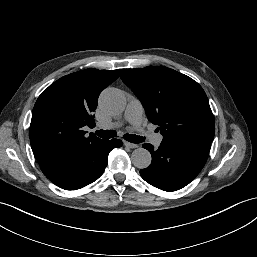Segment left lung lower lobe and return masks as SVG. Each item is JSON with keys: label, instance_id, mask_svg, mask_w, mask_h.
Returning <instances> with one entry per match:
<instances>
[{"label": "left lung lower lobe", "instance_id": "1", "mask_svg": "<svg viewBox=\"0 0 257 257\" xmlns=\"http://www.w3.org/2000/svg\"><path fill=\"white\" fill-rule=\"evenodd\" d=\"M211 141L163 140L154 149L143 144L152 155L149 167L140 170L141 177L164 191H176L189 184L201 171L207 160Z\"/></svg>", "mask_w": 257, "mask_h": 257}]
</instances>
